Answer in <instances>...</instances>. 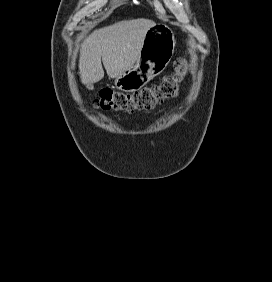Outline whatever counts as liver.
<instances>
[{"label": "liver", "instance_id": "1", "mask_svg": "<svg viewBox=\"0 0 272 282\" xmlns=\"http://www.w3.org/2000/svg\"><path fill=\"white\" fill-rule=\"evenodd\" d=\"M154 24L149 19L124 20L93 31L80 50L81 82L92 86L104 77L101 58L110 78H116L132 67L148 29Z\"/></svg>", "mask_w": 272, "mask_h": 282}]
</instances>
